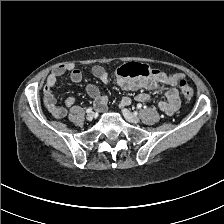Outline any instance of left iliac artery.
<instances>
[{
    "label": "left iliac artery",
    "instance_id": "1",
    "mask_svg": "<svg viewBox=\"0 0 224 224\" xmlns=\"http://www.w3.org/2000/svg\"><path fill=\"white\" fill-rule=\"evenodd\" d=\"M141 107H142V105H141V104H138V105H137V108H139V109H140Z\"/></svg>",
    "mask_w": 224,
    "mask_h": 224
}]
</instances>
